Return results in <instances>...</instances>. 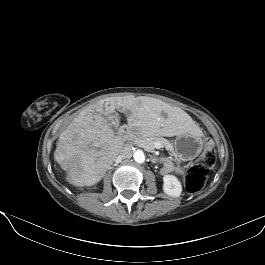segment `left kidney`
<instances>
[{"mask_svg":"<svg viewBox=\"0 0 265 265\" xmlns=\"http://www.w3.org/2000/svg\"><path fill=\"white\" fill-rule=\"evenodd\" d=\"M163 191L172 197H179L182 192L181 182L173 175L163 177Z\"/></svg>","mask_w":265,"mask_h":265,"instance_id":"obj_1","label":"left kidney"}]
</instances>
